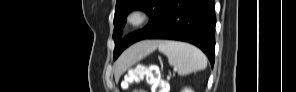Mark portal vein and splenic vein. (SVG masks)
<instances>
[{"label":"portal vein and splenic vein","mask_w":296,"mask_h":92,"mask_svg":"<svg viewBox=\"0 0 296 92\" xmlns=\"http://www.w3.org/2000/svg\"><path fill=\"white\" fill-rule=\"evenodd\" d=\"M177 70V68H174V71H176Z\"/></svg>","instance_id":"18ae733b"}]
</instances>
